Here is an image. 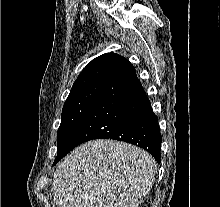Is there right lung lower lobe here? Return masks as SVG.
Instances as JSON below:
<instances>
[{"label":"right lung lower lobe","instance_id":"obj_1","mask_svg":"<svg viewBox=\"0 0 220 207\" xmlns=\"http://www.w3.org/2000/svg\"><path fill=\"white\" fill-rule=\"evenodd\" d=\"M115 139L137 145L160 162L158 117L130 66L107 78L72 135L63 157L92 139Z\"/></svg>","mask_w":220,"mask_h":207}]
</instances>
